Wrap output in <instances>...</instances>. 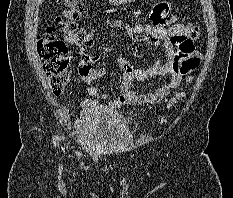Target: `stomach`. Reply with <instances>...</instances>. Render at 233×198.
<instances>
[{
    "mask_svg": "<svg viewBox=\"0 0 233 198\" xmlns=\"http://www.w3.org/2000/svg\"><path fill=\"white\" fill-rule=\"evenodd\" d=\"M111 3L116 4V5H121V4H127L131 3L135 0H109Z\"/></svg>",
    "mask_w": 233,
    "mask_h": 198,
    "instance_id": "obj_1",
    "label": "stomach"
}]
</instances>
